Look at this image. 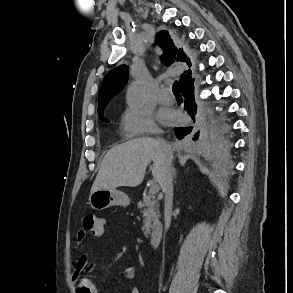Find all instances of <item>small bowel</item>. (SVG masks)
<instances>
[{
    "instance_id": "c3829d8e",
    "label": "small bowel",
    "mask_w": 293,
    "mask_h": 293,
    "mask_svg": "<svg viewBox=\"0 0 293 293\" xmlns=\"http://www.w3.org/2000/svg\"><path fill=\"white\" fill-rule=\"evenodd\" d=\"M105 233H106V230L104 228L102 232L96 235L93 234V236L100 238V237H103ZM87 235H88L87 232L83 229L77 232L76 239H77V244L79 246H81L82 243L85 241V239L87 238ZM88 266H89L88 256L86 253H82L79 256L78 262L76 264V267L73 273V279L77 285V293H98L97 288L95 284L93 283L91 277L88 275H82V273L84 272L86 268H88ZM134 275H135V270L133 268L128 267L125 269L124 277L126 279L130 280L134 277ZM129 292L140 293V290L138 287L132 286Z\"/></svg>"
}]
</instances>
